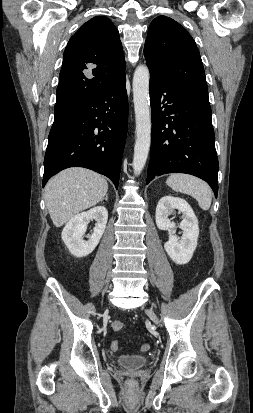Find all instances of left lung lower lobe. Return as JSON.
<instances>
[{"label": "left lung lower lobe", "mask_w": 253, "mask_h": 413, "mask_svg": "<svg viewBox=\"0 0 253 413\" xmlns=\"http://www.w3.org/2000/svg\"><path fill=\"white\" fill-rule=\"evenodd\" d=\"M151 158L147 184L156 176L187 173L218 193V158L210 105L174 88L150 71Z\"/></svg>", "instance_id": "0a47b994"}]
</instances>
